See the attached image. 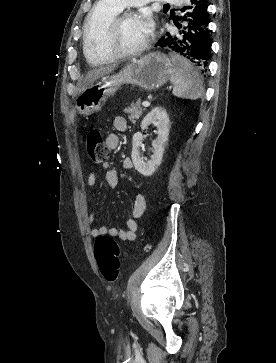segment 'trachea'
Here are the masks:
<instances>
[{
  "mask_svg": "<svg viewBox=\"0 0 276 363\" xmlns=\"http://www.w3.org/2000/svg\"><path fill=\"white\" fill-rule=\"evenodd\" d=\"M165 6H169V4H165Z\"/></svg>",
  "mask_w": 276,
  "mask_h": 363,
  "instance_id": "obj_1",
  "label": "trachea"
}]
</instances>
